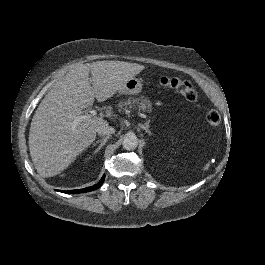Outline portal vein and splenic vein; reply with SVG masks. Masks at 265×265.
<instances>
[{"label":"portal vein and splenic vein","mask_w":265,"mask_h":265,"mask_svg":"<svg viewBox=\"0 0 265 265\" xmlns=\"http://www.w3.org/2000/svg\"><path fill=\"white\" fill-rule=\"evenodd\" d=\"M136 114L139 117H142L143 119H146L147 118V115L146 114H143L142 112L136 111ZM95 116H97V112L95 110H92L88 114L76 116L75 117V120L72 122V124H73V126H76L78 123H80L82 121H85V120H88V119H91V118H93Z\"/></svg>","instance_id":"1"}]
</instances>
